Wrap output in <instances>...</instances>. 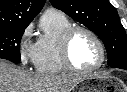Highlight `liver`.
Listing matches in <instances>:
<instances>
[{
	"label": "liver",
	"instance_id": "1",
	"mask_svg": "<svg viewBox=\"0 0 127 92\" xmlns=\"http://www.w3.org/2000/svg\"><path fill=\"white\" fill-rule=\"evenodd\" d=\"M83 78L32 74L0 60V92H70Z\"/></svg>",
	"mask_w": 127,
	"mask_h": 92
}]
</instances>
